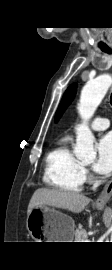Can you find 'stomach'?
Listing matches in <instances>:
<instances>
[{"instance_id": "1", "label": "stomach", "mask_w": 112, "mask_h": 270, "mask_svg": "<svg viewBox=\"0 0 112 270\" xmlns=\"http://www.w3.org/2000/svg\"><path fill=\"white\" fill-rule=\"evenodd\" d=\"M26 226L35 242H72L75 231L70 216L47 206L33 208L27 216Z\"/></svg>"}]
</instances>
